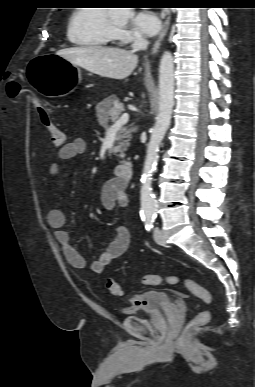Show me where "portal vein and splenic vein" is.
I'll use <instances>...</instances> for the list:
<instances>
[{"instance_id":"1","label":"portal vein and splenic vein","mask_w":255,"mask_h":387,"mask_svg":"<svg viewBox=\"0 0 255 387\" xmlns=\"http://www.w3.org/2000/svg\"><path fill=\"white\" fill-rule=\"evenodd\" d=\"M129 120V114L124 113L114 124V127H121L125 125Z\"/></svg>"}]
</instances>
